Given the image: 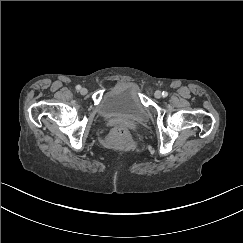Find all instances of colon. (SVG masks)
Wrapping results in <instances>:
<instances>
[{"mask_svg": "<svg viewBox=\"0 0 243 243\" xmlns=\"http://www.w3.org/2000/svg\"><path fill=\"white\" fill-rule=\"evenodd\" d=\"M118 135H119L120 137H124V136H125V131L120 130L119 133H118Z\"/></svg>", "mask_w": 243, "mask_h": 243, "instance_id": "colon-1", "label": "colon"}]
</instances>
